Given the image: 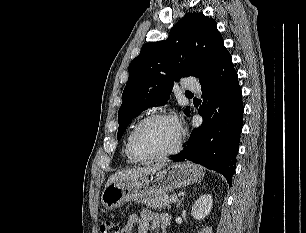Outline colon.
I'll list each match as a JSON object with an SVG mask.
<instances>
[{
	"mask_svg": "<svg viewBox=\"0 0 306 233\" xmlns=\"http://www.w3.org/2000/svg\"><path fill=\"white\" fill-rule=\"evenodd\" d=\"M101 233H123V229L112 220H105L100 226Z\"/></svg>",
	"mask_w": 306,
	"mask_h": 233,
	"instance_id": "obj_1",
	"label": "colon"
}]
</instances>
